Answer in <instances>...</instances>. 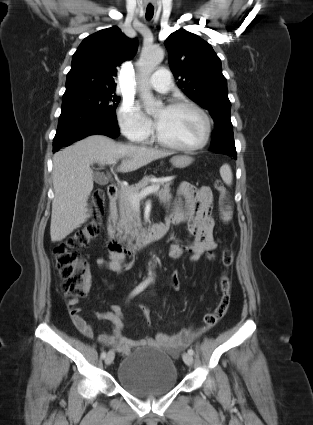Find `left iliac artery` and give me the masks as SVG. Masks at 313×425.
Segmentation results:
<instances>
[{"label":"left iliac artery","mask_w":313,"mask_h":425,"mask_svg":"<svg viewBox=\"0 0 313 425\" xmlns=\"http://www.w3.org/2000/svg\"><path fill=\"white\" fill-rule=\"evenodd\" d=\"M188 353H189L190 355H193V354H194L193 349H189V350H188Z\"/></svg>","instance_id":"obj_1"}]
</instances>
